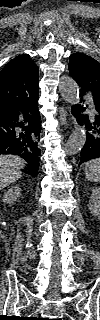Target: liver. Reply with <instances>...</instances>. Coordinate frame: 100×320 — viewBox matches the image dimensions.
<instances>
[{
  "instance_id": "6515ba94",
  "label": "liver",
  "mask_w": 100,
  "mask_h": 320,
  "mask_svg": "<svg viewBox=\"0 0 100 320\" xmlns=\"http://www.w3.org/2000/svg\"><path fill=\"white\" fill-rule=\"evenodd\" d=\"M25 161L16 155H2L0 157V188L3 189L22 176Z\"/></svg>"
}]
</instances>
